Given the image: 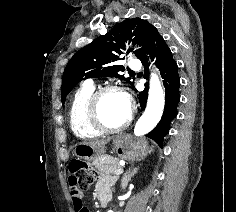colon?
<instances>
[{"label": "colon", "instance_id": "5ec220e1", "mask_svg": "<svg viewBox=\"0 0 236 212\" xmlns=\"http://www.w3.org/2000/svg\"><path fill=\"white\" fill-rule=\"evenodd\" d=\"M70 175H78L79 182L88 187L92 185L96 178V172L87 163L74 160L70 164Z\"/></svg>", "mask_w": 236, "mask_h": 212}]
</instances>
